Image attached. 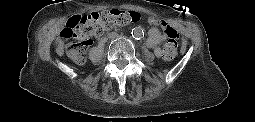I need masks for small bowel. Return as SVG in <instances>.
<instances>
[{
	"mask_svg": "<svg viewBox=\"0 0 255 122\" xmlns=\"http://www.w3.org/2000/svg\"><path fill=\"white\" fill-rule=\"evenodd\" d=\"M148 22L153 24L154 27H152L148 33L146 45L148 48L153 49L157 57H161L163 55V50L159 47V45L164 41L165 35L160 31L158 26L164 24V21L155 18H149Z\"/></svg>",
	"mask_w": 255,
	"mask_h": 122,
	"instance_id": "small-bowel-1",
	"label": "small bowel"
}]
</instances>
